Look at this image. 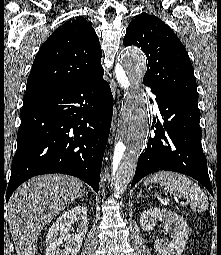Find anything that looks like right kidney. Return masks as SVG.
<instances>
[{"label": "right kidney", "mask_w": 221, "mask_h": 255, "mask_svg": "<svg viewBox=\"0 0 221 255\" xmlns=\"http://www.w3.org/2000/svg\"><path fill=\"white\" fill-rule=\"evenodd\" d=\"M79 228L70 234L72 224ZM87 209L78 205L64 212L50 227L46 236L45 255H77L87 233Z\"/></svg>", "instance_id": "right-kidney-1"}]
</instances>
